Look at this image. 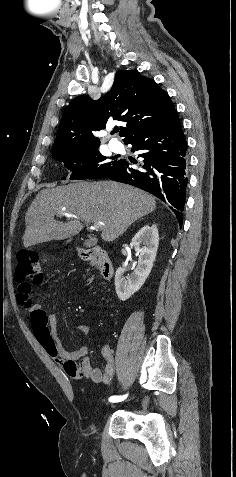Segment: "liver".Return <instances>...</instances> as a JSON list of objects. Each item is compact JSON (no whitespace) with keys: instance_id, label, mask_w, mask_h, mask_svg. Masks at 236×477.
Wrapping results in <instances>:
<instances>
[{"instance_id":"liver-1","label":"liver","mask_w":236,"mask_h":477,"mask_svg":"<svg viewBox=\"0 0 236 477\" xmlns=\"http://www.w3.org/2000/svg\"><path fill=\"white\" fill-rule=\"evenodd\" d=\"M155 198L138 188L111 181L76 182L41 190L25 216L24 247L76 236L83 222L102 223L101 237L112 242L139 218L153 212ZM61 212L77 216L54 219Z\"/></svg>"}]
</instances>
